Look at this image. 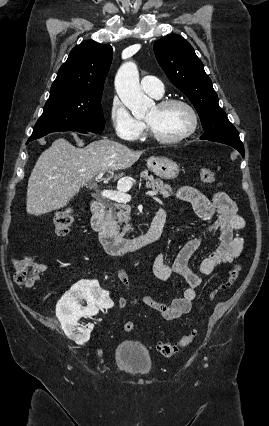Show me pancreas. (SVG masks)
I'll return each instance as SVG.
<instances>
[{"instance_id": "pancreas-1", "label": "pancreas", "mask_w": 269, "mask_h": 426, "mask_svg": "<svg viewBox=\"0 0 269 426\" xmlns=\"http://www.w3.org/2000/svg\"><path fill=\"white\" fill-rule=\"evenodd\" d=\"M142 178L146 180L147 188H150L155 192H159L163 195V197L168 198L173 194L170 185L164 184L161 179H154L153 175H148L147 171L142 173ZM107 207L109 209L106 215L107 223L115 226L117 229L124 224L123 232L129 231L130 225L128 222L130 220V207L124 203H109Z\"/></svg>"}]
</instances>
